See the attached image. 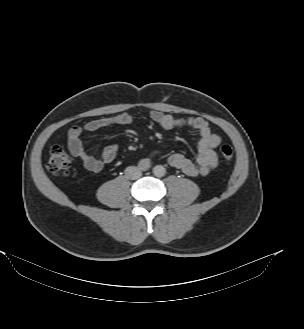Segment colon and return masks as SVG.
<instances>
[{"mask_svg":"<svg viewBox=\"0 0 304 329\" xmlns=\"http://www.w3.org/2000/svg\"><path fill=\"white\" fill-rule=\"evenodd\" d=\"M220 154L224 160H231L234 152L228 144L220 147ZM72 165V158L66 152L62 145H56L51 148L48 160V169L56 177H65L69 174Z\"/></svg>","mask_w":304,"mask_h":329,"instance_id":"5ec220e1","label":"colon"}]
</instances>
